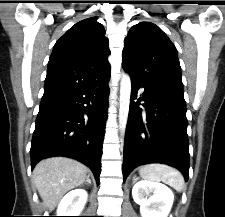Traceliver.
Instances as JSON below:
<instances>
[{
	"label": "liver",
	"instance_id": "6515ba94",
	"mask_svg": "<svg viewBox=\"0 0 225 217\" xmlns=\"http://www.w3.org/2000/svg\"><path fill=\"white\" fill-rule=\"evenodd\" d=\"M88 168L73 159L52 157L41 160L33 170V182L50 211L55 209L69 190L83 184Z\"/></svg>",
	"mask_w": 225,
	"mask_h": 217
}]
</instances>
